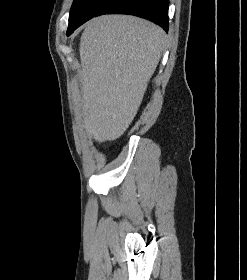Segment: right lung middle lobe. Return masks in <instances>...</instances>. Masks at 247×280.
I'll use <instances>...</instances> for the list:
<instances>
[{
	"label": "right lung middle lobe",
	"mask_w": 247,
	"mask_h": 280,
	"mask_svg": "<svg viewBox=\"0 0 247 280\" xmlns=\"http://www.w3.org/2000/svg\"><path fill=\"white\" fill-rule=\"evenodd\" d=\"M107 0H74L69 15L68 28L83 24L95 16Z\"/></svg>",
	"instance_id": "right-lung-middle-lobe-1"
}]
</instances>
